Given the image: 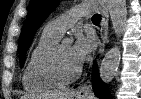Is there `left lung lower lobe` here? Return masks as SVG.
<instances>
[{
  "label": "left lung lower lobe",
  "mask_w": 141,
  "mask_h": 99,
  "mask_svg": "<svg viewBox=\"0 0 141 99\" xmlns=\"http://www.w3.org/2000/svg\"><path fill=\"white\" fill-rule=\"evenodd\" d=\"M92 83H93L94 93L98 98L110 99L109 91H108L106 85L99 78L97 68H94Z\"/></svg>",
  "instance_id": "1"
}]
</instances>
